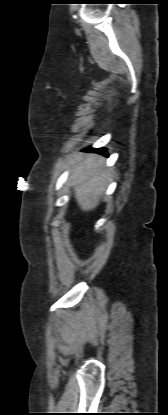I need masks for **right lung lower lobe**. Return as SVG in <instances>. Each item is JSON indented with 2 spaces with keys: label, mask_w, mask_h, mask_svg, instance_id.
<instances>
[{
  "label": "right lung lower lobe",
  "mask_w": 168,
  "mask_h": 415,
  "mask_svg": "<svg viewBox=\"0 0 168 415\" xmlns=\"http://www.w3.org/2000/svg\"><path fill=\"white\" fill-rule=\"evenodd\" d=\"M95 151L106 155V151L104 149H97Z\"/></svg>",
  "instance_id": "1"
}]
</instances>
